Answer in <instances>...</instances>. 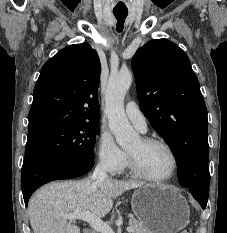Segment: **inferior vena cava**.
Wrapping results in <instances>:
<instances>
[{"instance_id":"602c4592","label":"inferior vena cava","mask_w":227,"mask_h":233,"mask_svg":"<svg viewBox=\"0 0 227 233\" xmlns=\"http://www.w3.org/2000/svg\"><path fill=\"white\" fill-rule=\"evenodd\" d=\"M106 170V165L104 164V162L101 161L95 167L91 179L96 183L103 181L104 179L108 178Z\"/></svg>"}]
</instances>
